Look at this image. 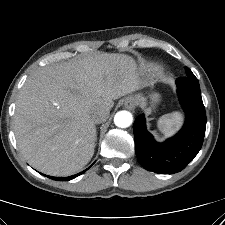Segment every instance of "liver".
Returning a JSON list of instances; mask_svg holds the SVG:
<instances>
[{
	"label": "liver",
	"instance_id": "liver-1",
	"mask_svg": "<svg viewBox=\"0 0 225 225\" xmlns=\"http://www.w3.org/2000/svg\"><path fill=\"white\" fill-rule=\"evenodd\" d=\"M141 86L137 64L125 54H97L35 71L16 101L14 132L22 155L47 175L79 172L94 154L92 114Z\"/></svg>",
	"mask_w": 225,
	"mask_h": 225
}]
</instances>
